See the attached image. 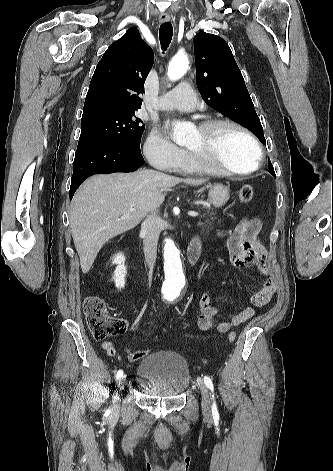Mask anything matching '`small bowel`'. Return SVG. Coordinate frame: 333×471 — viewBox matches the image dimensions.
Instances as JSON below:
<instances>
[{"label":"small bowel","mask_w":333,"mask_h":471,"mask_svg":"<svg viewBox=\"0 0 333 471\" xmlns=\"http://www.w3.org/2000/svg\"><path fill=\"white\" fill-rule=\"evenodd\" d=\"M261 229L262 224L258 219H245L239 222L227 239V250L232 265L237 268L253 266L264 279L262 289L254 293L250 299L255 307L266 306L276 289L275 282L269 274L266 248L258 238ZM253 315L254 309L245 307L232 316L230 321H218V309L213 305L211 296L204 293L199 301L197 325L201 331L215 328L221 333H227L232 328L248 321ZM134 321L138 323L140 318ZM101 346L109 356L116 354V349L110 341H104Z\"/></svg>","instance_id":"1"}]
</instances>
